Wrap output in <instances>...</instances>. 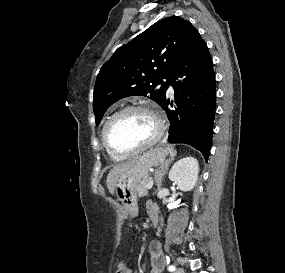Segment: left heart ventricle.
I'll return each instance as SVG.
<instances>
[{
  "label": "left heart ventricle",
  "instance_id": "1",
  "mask_svg": "<svg viewBox=\"0 0 285 273\" xmlns=\"http://www.w3.org/2000/svg\"><path fill=\"white\" fill-rule=\"evenodd\" d=\"M156 130L152 116L141 111H130L115 121L109 139L115 148L127 151L148 142L156 134Z\"/></svg>",
  "mask_w": 285,
  "mask_h": 273
}]
</instances>
